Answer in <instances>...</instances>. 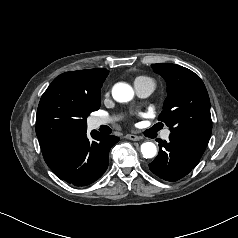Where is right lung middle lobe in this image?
<instances>
[{
  "label": "right lung middle lobe",
  "mask_w": 238,
  "mask_h": 238,
  "mask_svg": "<svg viewBox=\"0 0 238 238\" xmlns=\"http://www.w3.org/2000/svg\"><path fill=\"white\" fill-rule=\"evenodd\" d=\"M100 107V96L94 98V99H85L81 102L80 105V111H81V127H87V121L86 118L89 116V114L93 111L98 110Z\"/></svg>",
  "instance_id": "dd1d6c3e"
}]
</instances>
